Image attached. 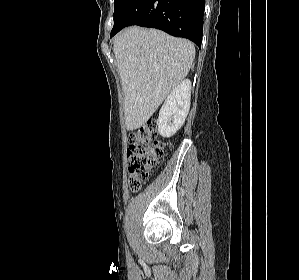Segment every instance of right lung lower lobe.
Wrapping results in <instances>:
<instances>
[{"label": "right lung lower lobe", "instance_id": "1", "mask_svg": "<svg viewBox=\"0 0 299 280\" xmlns=\"http://www.w3.org/2000/svg\"><path fill=\"white\" fill-rule=\"evenodd\" d=\"M204 8L205 0H124L110 37L126 26L139 25L187 38L200 48Z\"/></svg>", "mask_w": 299, "mask_h": 280}]
</instances>
